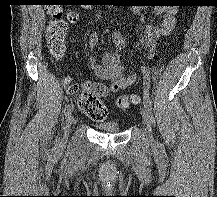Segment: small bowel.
<instances>
[{"instance_id": "obj_1", "label": "small bowel", "mask_w": 217, "mask_h": 197, "mask_svg": "<svg viewBox=\"0 0 217 197\" xmlns=\"http://www.w3.org/2000/svg\"><path fill=\"white\" fill-rule=\"evenodd\" d=\"M157 12L161 15L157 25L147 24L143 13L140 10H134V14L138 17L137 30L139 38L134 43L133 48L145 46L149 50V58L154 57L156 51V43L160 37L169 35L175 26L176 8L173 5H162L157 8ZM69 23H77L79 14L75 10H71L66 15ZM112 41L115 47L114 52H105L102 58V64L98 63L94 56L89 61L94 73L101 79L110 80V91L118 92L132 86L137 79L136 74L124 76L125 64L121 60V53L127 49L124 36L116 32L112 35ZM99 42V34L92 32L89 36V47L94 48Z\"/></svg>"}]
</instances>
